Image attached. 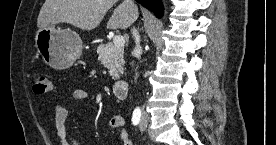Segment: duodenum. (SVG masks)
Here are the masks:
<instances>
[{"mask_svg":"<svg viewBox=\"0 0 276 145\" xmlns=\"http://www.w3.org/2000/svg\"><path fill=\"white\" fill-rule=\"evenodd\" d=\"M113 93L115 97L119 100H124L128 96V82L125 80H120L114 83Z\"/></svg>","mask_w":276,"mask_h":145,"instance_id":"obj_1","label":"duodenum"}]
</instances>
